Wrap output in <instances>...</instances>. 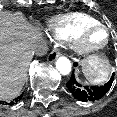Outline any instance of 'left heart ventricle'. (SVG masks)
<instances>
[{
	"mask_svg": "<svg viewBox=\"0 0 117 117\" xmlns=\"http://www.w3.org/2000/svg\"><path fill=\"white\" fill-rule=\"evenodd\" d=\"M105 39V33L102 30H94L87 36V42L90 44H100Z\"/></svg>",
	"mask_w": 117,
	"mask_h": 117,
	"instance_id": "b2bd125f",
	"label": "left heart ventricle"
}]
</instances>
